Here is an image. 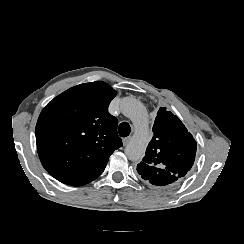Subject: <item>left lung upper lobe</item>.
<instances>
[{"mask_svg": "<svg viewBox=\"0 0 244 244\" xmlns=\"http://www.w3.org/2000/svg\"><path fill=\"white\" fill-rule=\"evenodd\" d=\"M153 131L146 155L137 165L138 173L164 184L183 178L195 160L197 147L193 136L176 115L162 107Z\"/></svg>", "mask_w": 244, "mask_h": 244, "instance_id": "obj_1", "label": "left lung upper lobe"}]
</instances>
